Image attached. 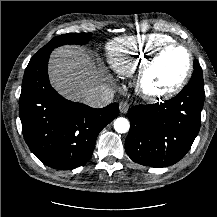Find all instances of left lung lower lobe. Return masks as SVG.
Instances as JSON below:
<instances>
[{"label":"left lung lower lobe","instance_id":"left-lung-lower-lobe-1","mask_svg":"<svg viewBox=\"0 0 217 217\" xmlns=\"http://www.w3.org/2000/svg\"><path fill=\"white\" fill-rule=\"evenodd\" d=\"M204 100V89L189 83L164 103L132 107L128 114L130 131L125 141L129 157L151 167L178 162L199 132Z\"/></svg>","mask_w":217,"mask_h":217}]
</instances>
